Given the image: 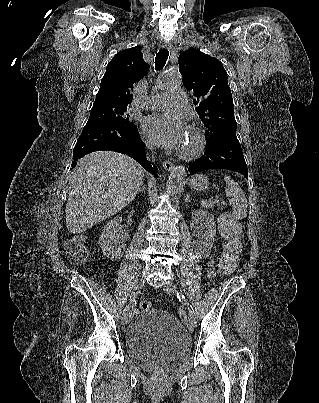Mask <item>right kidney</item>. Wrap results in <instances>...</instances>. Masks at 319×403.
<instances>
[{
    "instance_id": "right-kidney-1",
    "label": "right kidney",
    "mask_w": 319,
    "mask_h": 403,
    "mask_svg": "<svg viewBox=\"0 0 319 403\" xmlns=\"http://www.w3.org/2000/svg\"><path fill=\"white\" fill-rule=\"evenodd\" d=\"M122 224V217L117 216L113 218L104 227L101 236L99 237V245L105 257L112 261H116L123 256L126 245L124 244V237L117 236L115 233Z\"/></svg>"
}]
</instances>
